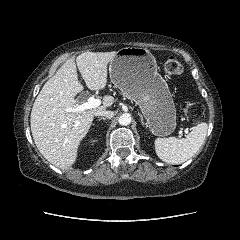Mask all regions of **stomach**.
Segmentation results:
<instances>
[{"mask_svg": "<svg viewBox=\"0 0 240 240\" xmlns=\"http://www.w3.org/2000/svg\"><path fill=\"white\" fill-rule=\"evenodd\" d=\"M109 73L111 82L139 105L154 135L167 136L174 132L176 108L173 98L148 49H120L110 62Z\"/></svg>", "mask_w": 240, "mask_h": 240, "instance_id": "0dacf381", "label": "stomach"}]
</instances>
